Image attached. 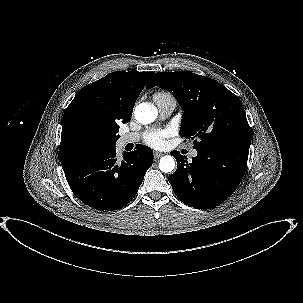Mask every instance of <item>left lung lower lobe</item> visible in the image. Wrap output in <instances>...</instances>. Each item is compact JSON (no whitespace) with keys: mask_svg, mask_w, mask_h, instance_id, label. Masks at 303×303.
Listing matches in <instances>:
<instances>
[{"mask_svg":"<svg viewBox=\"0 0 303 303\" xmlns=\"http://www.w3.org/2000/svg\"><path fill=\"white\" fill-rule=\"evenodd\" d=\"M188 163L179 152L177 169L169 176L176 196L186 205L210 209L224 202L238 187L247 165L249 148L204 146Z\"/></svg>","mask_w":303,"mask_h":303,"instance_id":"obj_1","label":"left lung lower lobe"}]
</instances>
